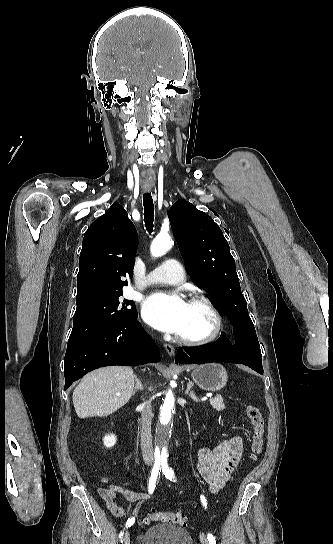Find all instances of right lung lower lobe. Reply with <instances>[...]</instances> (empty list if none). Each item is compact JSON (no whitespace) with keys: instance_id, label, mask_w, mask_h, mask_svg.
<instances>
[{"instance_id":"right-lung-lower-lobe-1","label":"right lung lower lobe","mask_w":333,"mask_h":544,"mask_svg":"<svg viewBox=\"0 0 333 544\" xmlns=\"http://www.w3.org/2000/svg\"><path fill=\"white\" fill-rule=\"evenodd\" d=\"M160 361L158 347L144 332L135 315L119 326L67 346L64 359L65 389L100 367L138 366Z\"/></svg>"}]
</instances>
